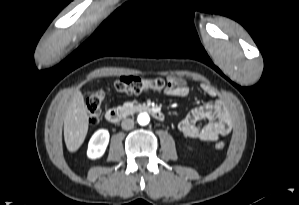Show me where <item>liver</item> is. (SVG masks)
Wrapping results in <instances>:
<instances>
[{"mask_svg":"<svg viewBox=\"0 0 299 205\" xmlns=\"http://www.w3.org/2000/svg\"><path fill=\"white\" fill-rule=\"evenodd\" d=\"M88 115L83 95L74 93L64 118V140L68 151L75 152L85 140L88 132Z\"/></svg>","mask_w":299,"mask_h":205,"instance_id":"1","label":"liver"}]
</instances>
